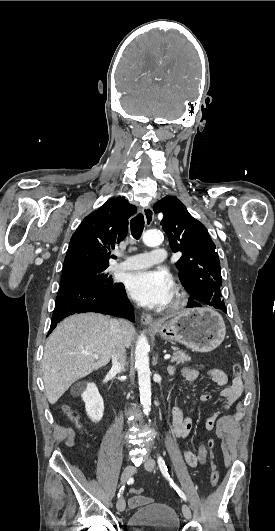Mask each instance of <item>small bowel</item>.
I'll list each match as a JSON object with an SVG mask.
<instances>
[{
    "mask_svg": "<svg viewBox=\"0 0 275 531\" xmlns=\"http://www.w3.org/2000/svg\"><path fill=\"white\" fill-rule=\"evenodd\" d=\"M174 369L169 368V373H173ZM183 376L191 383L199 378V372L195 369L183 368L181 370ZM210 376L213 382L220 387H224L221 391V396L224 398L222 410H229L236 403L243 390V383L240 376L232 378L228 384L227 375L220 369L210 370ZM210 393H204L200 396L202 402H210L212 400ZM222 411H218L207 418L205 427L207 430H212ZM193 420L190 416L184 414V410L180 406H176L172 411V429L178 438H187L192 430ZM208 457V449L204 441L199 444L197 451L185 450L183 451V458L185 462L191 467H202L206 464ZM131 493H133L131 491ZM150 503V499L141 495H134L129 499L128 506L135 510Z\"/></svg>",
    "mask_w": 275,
    "mask_h": 531,
    "instance_id": "1",
    "label": "small bowel"
}]
</instances>
